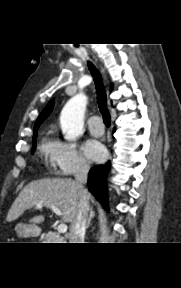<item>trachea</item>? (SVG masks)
Returning a JSON list of instances; mask_svg holds the SVG:
<instances>
[{
  "label": "trachea",
  "mask_w": 181,
  "mask_h": 288,
  "mask_svg": "<svg viewBox=\"0 0 181 288\" xmlns=\"http://www.w3.org/2000/svg\"><path fill=\"white\" fill-rule=\"evenodd\" d=\"M88 68L93 76L95 86H96V93H97V103L99 105L100 111L103 116L104 124L109 127L111 125V117L107 109V98L106 92L103 85L101 74L99 73L98 69L91 63L88 62Z\"/></svg>",
  "instance_id": "1"
}]
</instances>
